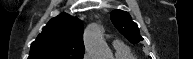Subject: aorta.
<instances>
[{"mask_svg": "<svg viewBox=\"0 0 193 59\" xmlns=\"http://www.w3.org/2000/svg\"><path fill=\"white\" fill-rule=\"evenodd\" d=\"M84 43L87 52L93 57L105 59L111 55L101 30L96 24L87 27L84 34Z\"/></svg>", "mask_w": 193, "mask_h": 59, "instance_id": "aorta-1", "label": "aorta"}]
</instances>
